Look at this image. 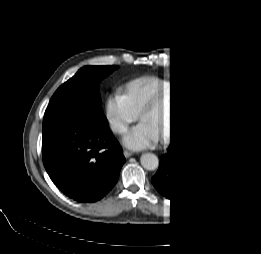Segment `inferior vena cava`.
I'll return each instance as SVG.
<instances>
[{"instance_id":"602c4592","label":"inferior vena cava","mask_w":261,"mask_h":254,"mask_svg":"<svg viewBox=\"0 0 261 254\" xmlns=\"http://www.w3.org/2000/svg\"><path fill=\"white\" fill-rule=\"evenodd\" d=\"M111 128H112L113 131L117 132V131L121 130L122 124L119 123V122H116V121L112 122L111 123Z\"/></svg>"}]
</instances>
